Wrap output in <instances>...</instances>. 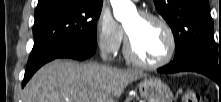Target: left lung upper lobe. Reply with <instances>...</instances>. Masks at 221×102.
<instances>
[{"instance_id":"1","label":"left lung upper lobe","mask_w":221,"mask_h":102,"mask_svg":"<svg viewBox=\"0 0 221 102\" xmlns=\"http://www.w3.org/2000/svg\"><path fill=\"white\" fill-rule=\"evenodd\" d=\"M154 4L173 31L174 58L197 53L221 67V48L214 41L208 0H154Z\"/></svg>"}]
</instances>
